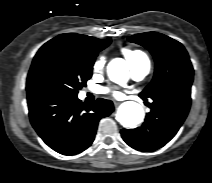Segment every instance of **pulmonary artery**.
I'll return each mask as SVG.
<instances>
[{
    "mask_svg": "<svg viewBox=\"0 0 212 183\" xmlns=\"http://www.w3.org/2000/svg\"><path fill=\"white\" fill-rule=\"evenodd\" d=\"M150 69V63L133 65L131 66L132 77L136 80H141L150 72Z\"/></svg>",
    "mask_w": 212,
    "mask_h": 183,
    "instance_id": "obj_1",
    "label": "pulmonary artery"
}]
</instances>
